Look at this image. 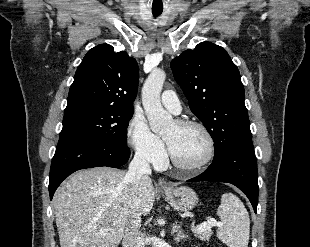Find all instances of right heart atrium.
Segmentation results:
<instances>
[{
    "instance_id": "1",
    "label": "right heart atrium",
    "mask_w": 310,
    "mask_h": 247,
    "mask_svg": "<svg viewBox=\"0 0 310 247\" xmlns=\"http://www.w3.org/2000/svg\"><path fill=\"white\" fill-rule=\"evenodd\" d=\"M127 138L135 154L154 166H162L166 152L162 140L155 135L144 117L135 115L127 127Z\"/></svg>"
}]
</instances>
